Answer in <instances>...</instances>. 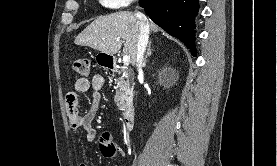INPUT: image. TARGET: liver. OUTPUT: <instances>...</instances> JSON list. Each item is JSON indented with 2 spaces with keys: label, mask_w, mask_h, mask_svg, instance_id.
<instances>
[{
  "label": "liver",
  "mask_w": 277,
  "mask_h": 166,
  "mask_svg": "<svg viewBox=\"0 0 277 166\" xmlns=\"http://www.w3.org/2000/svg\"><path fill=\"white\" fill-rule=\"evenodd\" d=\"M149 30L159 31L157 25L147 19ZM140 25L135 14L120 11L100 16L88 25L75 39V44L88 46L108 55L116 54L124 43V53L130 56L133 65L136 63L137 43ZM120 39V41H117Z\"/></svg>",
  "instance_id": "6515ba94"
}]
</instances>
